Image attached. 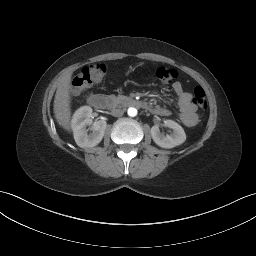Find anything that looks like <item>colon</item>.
<instances>
[{
  "label": "colon",
  "instance_id": "5ec220e1",
  "mask_svg": "<svg viewBox=\"0 0 256 256\" xmlns=\"http://www.w3.org/2000/svg\"><path fill=\"white\" fill-rule=\"evenodd\" d=\"M105 72L106 67L102 63H95L82 68L72 79V93L74 95L80 94L94 82L100 81ZM154 74L160 82L166 84L173 82L177 78V72L174 69L163 66L158 67ZM192 99L198 109L204 111L207 108L206 94L202 87L196 86L194 88Z\"/></svg>",
  "mask_w": 256,
  "mask_h": 256
}]
</instances>
